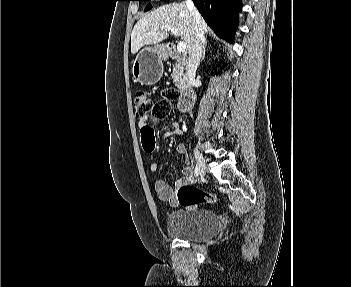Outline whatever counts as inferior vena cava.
<instances>
[{
  "label": "inferior vena cava",
  "instance_id": "inferior-vena-cava-1",
  "mask_svg": "<svg viewBox=\"0 0 351 287\" xmlns=\"http://www.w3.org/2000/svg\"><path fill=\"white\" fill-rule=\"evenodd\" d=\"M186 6L193 18V22L195 25V40H194L192 49L189 53V57L186 65V80H187V84L191 86V85H194L195 83L196 70L200 63V58L202 56V50L205 44V36L201 25L200 14L197 11L193 1L186 0Z\"/></svg>",
  "mask_w": 351,
  "mask_h": 287
}]
</instances>
